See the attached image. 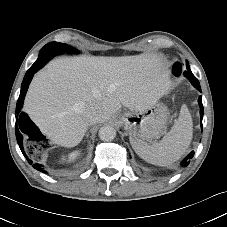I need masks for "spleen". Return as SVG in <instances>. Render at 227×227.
Listing matches in <instances>:
<instances>
[{
	"instance_id": "spleen-1",
	"label": "spleen",
	"mask_w": 227,
	"mask_h": 227,
	"mask_svg": "<svg viewBox=\"0 0 227 227\" xmlns=\"http://www.w3.org/2000/svg\"><path fill=\"white\" fill-rule=\"evenodd\" d=\"M193 136L191 114L184 104L171 130L159 142L147 144L130 138L136 154L146 162L158 166H168L185 153Z\"/></svg>"
}]
</instances>
